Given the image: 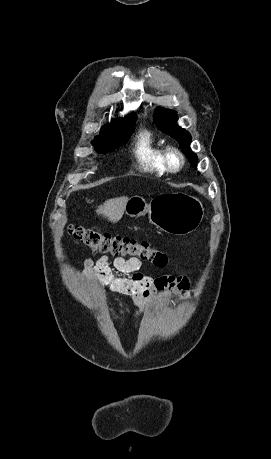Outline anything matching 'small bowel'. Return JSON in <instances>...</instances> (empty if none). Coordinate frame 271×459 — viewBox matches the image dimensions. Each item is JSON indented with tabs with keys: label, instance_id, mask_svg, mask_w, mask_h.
Listing matches in <instances>:
<instances>
[{
	"label": "small bowel",
	"instance_id": "c3829d8e",
	"mask_svg": "<svg viewBox=\"0 0 271 459\" xmlns=\"http://www.w3.org/2000/svg\"><path fill=\"white\" fill-rule=\"evenodd\" d=\"M81 266L90 281L112 291L132 296L135 305L140 307L153 297L172 300L173 293L184 296L189 289L186 278L171 275L153 277L138 272L143 267V262L138 258L117 257L113 260L114 268L124 276L114 274L108 256L99 259L88 258Z\"/></svg>",
	"mask_w": 271,
	"mask_h": 459
}]
</instances>
